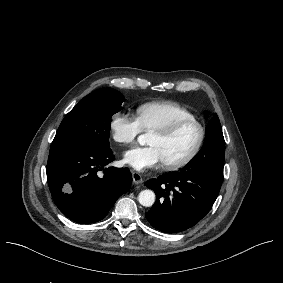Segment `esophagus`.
<instances>
[{
    "mask_svg": "<svg viewBox=\"0 0 283 283\" xmlns=\"http://www.w3.org/2000/svg\"><path fill=\"white\" fill-rule=\"evenodd\" d=\"M132 178L135 184H141L143 182L142 176L138 172H132Z\"/></svg>",
    "mask_w": 283,
    "mask_h": 283,
    "instance_id": "obj_1",
    "label": "esophagus"
}]
</instances>
